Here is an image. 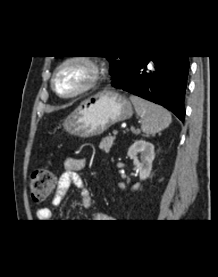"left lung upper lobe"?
<instances>
[{
	"label": "left lung upper lobe",
	"mask_w": 218,
	"mask_h": 277,
	"mask_svg": "<svg viewBox=\"0 0 218 277\" xmlns=\"http://www.w3.org/2000/svg\"><path fill=\"white\" fill-rule=\"evenodd\" d=\"M110 62V75L114 77L116 74L120 73L132 56H104Z\"/></svg>",
	"instance_id": "obj_1"
}]
</instances>
